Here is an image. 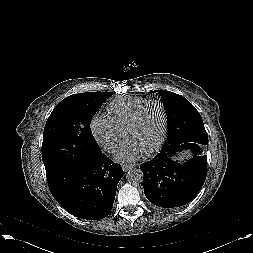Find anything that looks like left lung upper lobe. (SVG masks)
Segmentation results:
<instances>
[{"label":"left lung upper lobe","mask_w":253,"mask_h":253,"mask_svg":"<svg viewBox=\"0 0 253 253\" xmlns=\"http://www.w3.org/2000/svg\"><path fill=\"white\" fill-rule=\"evenodd\" d=\"M161 96L168 117V136L163 147L184 142L208 144V134L203 120L196 108L183 96L166 91L155 90Z\"/></svg>","instance_id":"1"}]
</instances>
